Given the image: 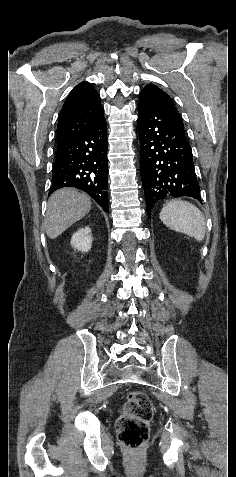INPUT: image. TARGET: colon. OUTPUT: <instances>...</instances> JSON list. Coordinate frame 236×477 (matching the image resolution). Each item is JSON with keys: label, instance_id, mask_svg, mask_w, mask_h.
Instances as JSON below:
<instances>
[{"label": "colon", "instance_id": "5ec220e1", "mask_svg": "<svg viewBox=\"0 0 236 477\" xmlns=\"http://www.w3.org/2000/svg\"><path fill=\"white\" fill-rule=\"evenodd\" d=\"M153 413V404L143 391L128 393L117 422L118 440L125 448L139 450L145 444Z\"/></svg>", "mask_w": 236, "mask_h": 477}]
</instances>
